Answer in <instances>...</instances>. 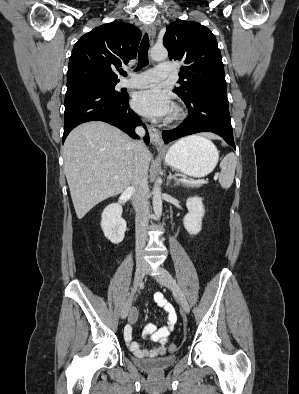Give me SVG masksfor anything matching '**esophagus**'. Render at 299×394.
Here are the masks:
<instances>
[{
  "instance_id": "esophagus-1",
  "label": "esophagus",
  "mask_w": 299,
  "mask_h": 394,
  "mask_svg": "<svg viewBox=\"0 0 299 394\" xmlns=\"http://www.w3.org/2000/svg\"><path fill=\"white\" fill-rule=\"evenodd\" d=\"M146 32L148 33L149 37L153 40L156 34L155 27L152 24H147L144 26ZM149 135L151 142L157 147H163V141L161 139V132L156 129L155 127L149 126L148 127Z\"/></svg>"
}]
</instances>
